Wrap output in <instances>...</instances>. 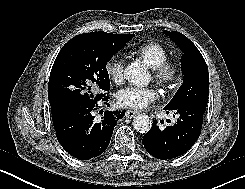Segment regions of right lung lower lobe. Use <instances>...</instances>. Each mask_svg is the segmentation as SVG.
<instances>
[{
	"instance_id": "1",
	"label": "right lung lower lobe",
	"mask_w": 245,
	"mask_h": 189,
	"mask_svg": "<svg viewBox=\"0 0 245 189\" xmlns=\"http://www.w3.org/2000/svg\"><path fill=\"white\" fill-rule=\"evenodd\" d=\"M108 98L102 93L90 99L51 106L57 139L71 156L88 160L106 150L116 122L125 114L105 111L101 119H96L94 113L99 109L98 101H108Z\"/></svg>"
}]
</instances>
